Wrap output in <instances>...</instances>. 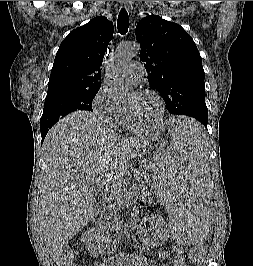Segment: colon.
Instances as JSON below:
<instances>
[{
    "instance_id": "colon-1",
    "label": "colon",
    "mask_w": 253,
    "mask_h": 266,
    "mask_svg": "<svg viewBox=\"0 0 253 266\" xmlns=\"http://www.w3.org/2000/svg\"><path fill=\"white\" fill-rule=\"evenodd\" d=\"M207 251V244L203 242V248H193L191 251V257L193 260H200L206 253ZM64 266H75L73 258L70 254H68L64 261H63Z\"/></svg>"
}]
</instances>
